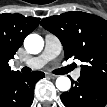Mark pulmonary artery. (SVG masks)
Segmentation results:
<instances>
[{"label": "pulmonary artery", "mask_w": 107, "mask_h": 107, "mask_svg": "<svg viewBox=\"0 0 107 107\" xmlns=\"http://www.w3.org/2000/svg\"><path fill=\"white\" fill-rule=\"evenodd\" d=\"M61 52V43L60 40L53 34L45 35V46L41 55L31 58L26 61V65L38 69L43 67L47 62L54 59ZM80 76V71L76 70L73 73L74 78H78Z\"/></svg>", "instance_id": "1"}]
</instances>
